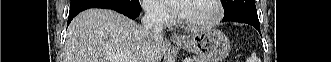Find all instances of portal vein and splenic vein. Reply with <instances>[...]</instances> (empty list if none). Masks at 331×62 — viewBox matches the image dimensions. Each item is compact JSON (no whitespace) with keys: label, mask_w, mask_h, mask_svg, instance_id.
Here are the masks:
<instances>
[{"label":"portal vein and splenic vein","mask_w":331,"mask_h":62,"mask_svg":"<svg viewBox=\"0 0 331 62\" xmlns=\"http://www.w3.org/2000/svg\"><path fill=\"white\" fill-rule=\"evenodd\" d=\"M108 59L111 62H138L137 58L133 55H123L117 54L113 56H109ZM190 62V61H187Z\"/></svg>","instance_id":"obj_1"}]
</instances>
